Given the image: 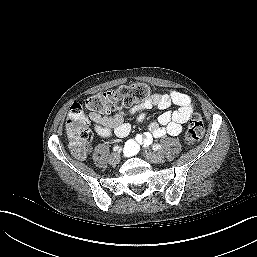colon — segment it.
Listing matches in <instances>:
<instances>
[{
  "mask_svg": "<svg viewBox=\"0 0 257 257\" xmlns=\"http://www.w3.org/2000/svg\"><path fill=\"white\" fill-rule=\"evenodd\" d=\"M149 96V88L143 83H134L116 90L98 93L85 102H75L71 105L66 119V134L73 155L79 159L86 156L92 133L87 121L82 115L83 106L88 109L109 113L123 107H130L145 100ZM204 133L203 119L200 114L192 113L189 118L185 141L188 145L199 142Z\"/></svg>",
  "mask_w": 257,
  "mask_h": 257,
  "instance_id": "5ec220e1",
  "label": "colon"
}]
</instances>
